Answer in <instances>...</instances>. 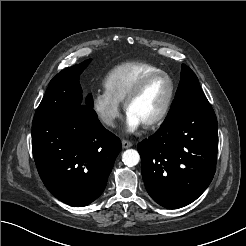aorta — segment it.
Here are the masks:
<instances>
[{"mask_svg":"<svg viewBox=\"0 0 246 246\" xmlns=\"http://www.w3.org/2000/svg\"><path fill=\"white\" fill-rule=\"evenodd\" d=\"M139 153L134 149H128L122 154V161L128 167H133L139 163Z\"/></svg>","mask_w":246,"mask_h":246,"instance_id":"obj_1","label":"aorta"}]
</instances>
